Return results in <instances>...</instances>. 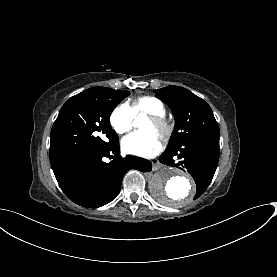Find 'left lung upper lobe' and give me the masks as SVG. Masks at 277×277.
<instances>
[{
  "instance_id": "1",
  "label": "left lung upper lobe",
  "mask_w": 277,
  "mask_h": 277,
  "mask_svg": "<svg viewBox=\"0 0 277 277\" xmlns=\"http://www.w3.org/2000/svg\"><path fill=\"white\" fill-rule=\"evenodd\" d=\"M155 92L175 116V131L167 149H175L195 137L219 134V126L213 112L202 98L178 86H167Z\"/></svg>"
}]
</instances>
